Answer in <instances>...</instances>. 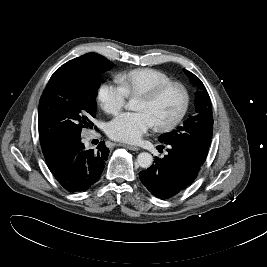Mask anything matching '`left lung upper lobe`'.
<instances>
[{
  "label": "left lung upper lobe",
  "instance_id": "1",
  "mask_svg": "<svg viewBox=\"0 0 267 267\" xmlns=\"http://www.w3.org/2000/svg\"><path fill=\"white\" fill-rule=\"evenodd\" d=\"M191 83L199 91L195 93L196 112L183 125L170 133H164L159 141L168 145H180L193 151L200 160L205 161L213 134V116L211 100L202 81L193 73L184 69Z\"/></svg>",
  "mask_w": 267,
  "mask_h": 267
}]
</instances>
